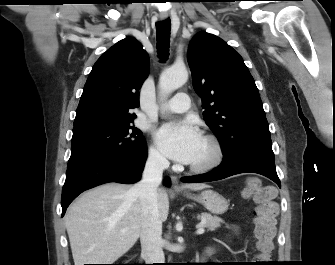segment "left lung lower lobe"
Listing matches in <instances>:
<instances>
[{"mask_svg":"<svg viewBox=\"0 0 335 265\" xmlns=\"http://www.w3.org/2000/svg\"><path fill=\"white\" fill-rule=\"evenodd\" d=\"M246 172L266 176L281 188L274 159L256 153H241L225 158L213 171L202 175L183 177L181 181L185 183L209 182Z\"/></svg>","mask_w":335,"mask_h":265,"instance_id":"1","label":"left lung lower lobe"}]
</instances>
